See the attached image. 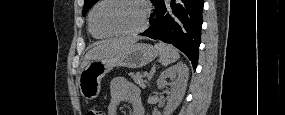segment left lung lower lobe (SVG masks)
Masks as SVG:
<instances>
[{"mask_svg":"<svg viewBox=\"0 0 285 115\" xmlns=\"http://www.w3.org/2000/svg\"><path fill=\"white\" fill-rule=\"evenodd\" d=\"M155 6L150 27L140 35L159 39L180 49L192 62H198L202 28V0H151Z\"/></svg>","mask_w":285,"mask_h":115,"instance_id":"obj_1","label":"left lung lower lobe"}]
</instances>
